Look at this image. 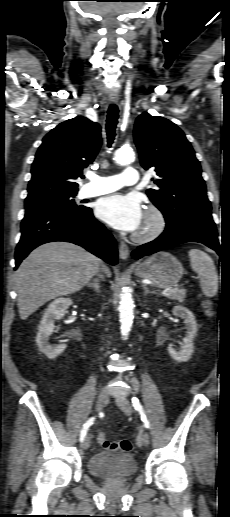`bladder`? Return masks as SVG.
Wrapping results in <instances>:
<instances>
[{
	"instance_id": "1",
	"label": "bladder",
	"mask_w": 230,
	"mask_h": 517,
	"mask_svg": "<svg viewBox=\"0 0 230 517\" xmlns=\"http://www.w3.org/2000/svg\"><path fill=\"white\" fill-rule=\"evenodd\" d=\"M88 471L102 479H123L133 476L137 471L135 458L127 452L94 454L88 462Z\"/></svg>"
}]
</instances>
